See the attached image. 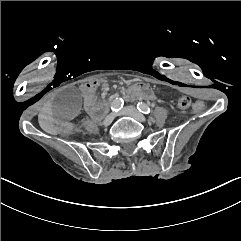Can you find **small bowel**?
<instances>
[{
	"label": "small bowel",
	"mask_w": 241,
	"mask_h": 241,
	"mask_svg": "<svg viewBox=\"0 0 241 241\" xmlns=\"http://www.w3.org/2000/svg\"><path fill=\"white\" fill-rule=\"evenodd\" d=\"M98 86H99L98 82H89L81 86V91L83 93L84 102H85V108L87 112L92 116L95 109L98 107L97 104L95 103V92ZM127 90L131 94H135L137 92L142 93V95L149 100L154 99L156 96L155 90L150 88L148 84L143 82H138L136 84L131 83L128 85Z\"/></svg>",
	"instance_id": "c3829d8e"
}]
</instances>
